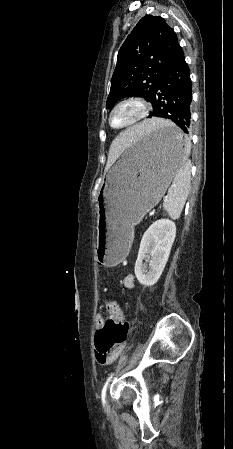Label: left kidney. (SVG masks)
Instances as JSON below:
<instances>
[{"label": "left kidney", "instance_id": "5707ae66", "mask_svg": "<svg viewBox=\"0 0 233 449\" xmlns=\"http://www.w3.org/2000/svg\"><path fill=\"white\" fill-rule=\"evenodd\" d=\"M175 236L176 225L168 219L157 220L146 230L135 263V276L140 284L149 287L159 280ZM144 259H148L149 265L143 263Z\"/></svg>", "mask_w": 233, "mask_h": 449}]
</instances>
